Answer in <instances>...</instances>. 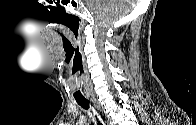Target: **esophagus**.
I'll use <instances>...</instances> for the list:
<instances>
[{
	"mask_svg": "<svg viewBox=\"0 0 196 125\" xmlns=\"http://www.w3.org/2000/svg\"><path fill=\"white\" fill-rule=\"evenodd\" d=\"M92 101H93L94 103H96V100L93 99Z\"/></svg>",
	"mask_w": 196,
	"mask_h": 125,
	"instance_id": "esophagus-1",
	"label": "esophagus"
}]
</instances>
